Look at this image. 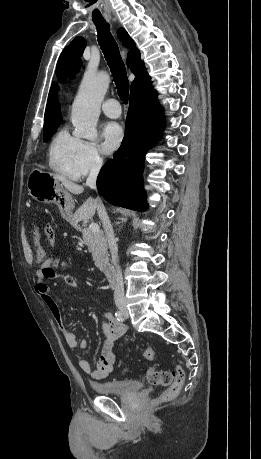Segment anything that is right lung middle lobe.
Returning <instances> with one entry per match:
<instances>
[{"mask_svg": "<svg viewBox=\"0 0 261 459\" xmlns=\"http://www.w3.org/2000/svg\"><path fill=\"white\" fill-rule=\"evenodd\" d=\"M60 123L56 124H45L44 125V134H43V140L47 141L49 137L52 135V133L57 129Z\"/></svg>", "mask_w": 261, "mask_h": 459, "instance_id": "right-lung-middle-lobe-1", "label": "right lung middle lobe"}]
</instances>
